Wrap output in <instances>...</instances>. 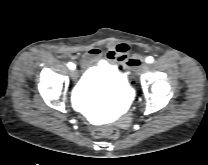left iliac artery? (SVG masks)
<instances>
[{
  "label": "left iliac artery",
  "mask_w": 208,
  "mask_h": 165,
  "mask_svg": "<svg viewBox=\"0 0 208 165\" xmlns=\"http://www.w3.org/2000/svg\"><path fill=\"white\" fill-rule=\"evenodd\" d=\"M153 60H154L153 57L149 56V57H147L146 62L147 63H152Z\"/></svg>",
  "instance_id": "obj_1"
}]
</instances>
